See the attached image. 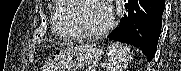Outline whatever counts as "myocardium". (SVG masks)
<instances>
[{
  "mask_svg": "<svg viewBox=\"0 0 181 71\" xmlns=\"http://www.w3.org/2000/svg\"><path fill=\"white\" fill-rule=\"evenodd\" d=\"M63 1H67L72 5L70 23L73 31L75 32L78 38L88 39V40L99 39L108 35L116 26L117 19L115 15V10L113 5L108 0H102V1L108 6L110 10V21L105 28L97 32L87 31L80 26L78 15L81 10V5L79 3V0H63Z\"/></svg>",
  "mask_w": 181,
  "mask_h": 71,
  "instance_id": "1",
  "label": "myocardium"
}]
</instances>
